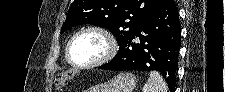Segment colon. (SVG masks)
Returning <instances> with one entry per match:
<instances>
[{
	"instance_id": "colon-1",
	"label": "colon",
	"mask_w": 225,
	"mask_h": 92,
	"mask_svg": "<svg viewBox=\"0 0 225 92\" xmlns=\"http://www.w3.org/2000/svg\"><path fill=\"white\" fill-rule=\"evenodd\" d=\"M67 78H68V75L65 74V73H64V74H61V75L57 78L56 83H57V86H58V91H62V88H63V86H64V84H65Z\"/></svg>"
}]
</instances>
